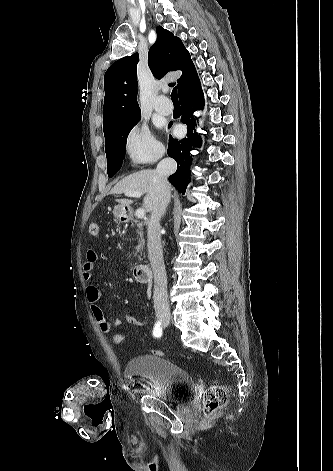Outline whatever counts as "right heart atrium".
<instances>
[{"label":"right heart atrium","mask_w":333,"mask_h":471,"mask_svg":"<svg viewBox=\"0 0 333 471\" xmlns=\"http://www.w3.org/2000/svg\"><path fill=\"white\" fill-rule=\"evenodd\" d=\"M124 148L129 159L136 163L153 162L163 154L162 144L145 125H135L125 136Z\"/></svg>","instance_id":"1"}]
</instances>
